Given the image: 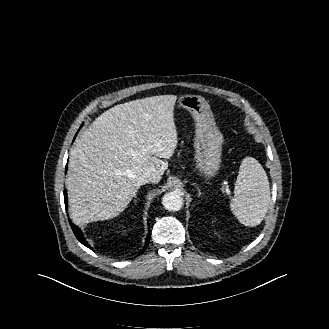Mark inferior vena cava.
I'll list each match as a JSON object with an SVG mask.
<instances>
[{"label":"inferior vena cava","mask_w":329,"mask_h":329,"mask_svg":"<svg viewBox=\"0 0 329 329\" xmlns=\"http://www.w3.org/2000/svg\"><path fill=\"white\" fill-rule=\"evenodd\" d=\"M155 179H156V177L154 176V174L151 171L143 172L141 174V176L139 177V181L142 185L149 183V182L153 183L155 181Z\"/></svg>","instance_id":"inferior-vena-cava-1"}]
</instances>
